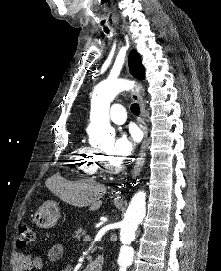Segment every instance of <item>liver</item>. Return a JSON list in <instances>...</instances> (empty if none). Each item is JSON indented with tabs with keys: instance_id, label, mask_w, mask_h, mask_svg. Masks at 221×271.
<instances>
[{
	"instance_id": "6515ba94",
	"label": "liver",
	"mask_w": 221,
	"mask_h": 271,
	"mask_svg": "<svg viewBox=\"0 0 221 271\" xmlns=\"http://www.w3.org/2000/svg\"><path fill=\"white\" fill-rule=\"evenodd\" d=\"M53 185H60L62 187L61 191L57 193L60 199H63L66 203H70V205H76V207L92 205L94 209H99L103 201L97 197L96 191H106L105 185L97 183L93 179H79L76 183H69V181H64L61 175L56 177Z\"/></svg>"
}]
</instances>
